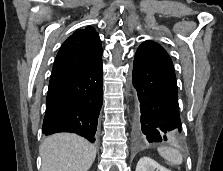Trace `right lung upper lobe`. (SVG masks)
Instances as JSON below:
<instances>
[{
	"mask_svg": "<svg viewBox=\"0 0 223 171\" xmlns=\"http://www.w3.org/2000/svg\"><path fill=\"white\" fill-rule=\"evenodd\" d=\"M102 46L94 28L75 31L61 46L53 66L50 83L83 73L102 61Z\"/></svg>",
	"mask_w": 223,
	"mask_h": 171,
	"instance_id": "cb5924a9",
	"label": "right lung upper lobe"
}]
</instances>
